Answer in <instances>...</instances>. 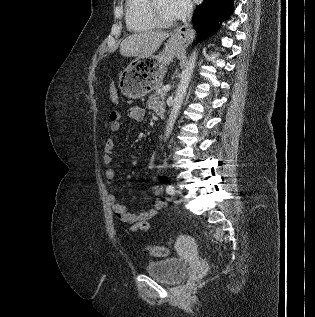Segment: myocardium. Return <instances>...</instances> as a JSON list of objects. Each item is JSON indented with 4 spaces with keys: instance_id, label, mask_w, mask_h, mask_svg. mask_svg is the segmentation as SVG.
Here are the masks:
<instances>
[{
    "instance_id": "obj_1",
    "label": "myocardium",
    "mask_w": 315,
    "mask_h": 317,
    "mask_svg": "<svg viewBox=\"0 0 315 317\" xmlns=\"http://www.w3.org/2000/svg\"><path fill=\"white\" fill-rule=\"evenodd\" d=\"M147 11L150 20L156 27L169 28L176 24L175 20H164L160 17L156 7V0H148Z\"/></svg>"
}]
</instances>
